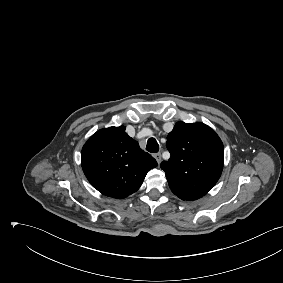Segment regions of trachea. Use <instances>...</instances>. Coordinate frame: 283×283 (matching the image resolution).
I'll return each instance as SVG.
<instances>
[{
  "instance_id": "1",
  "label": "trachea",
  "mask_w": 283,
  "mask_h": 283,
  "mask_svg": "<svg viewBox=\"0 0 283 283\" xmlns=\"http://www.w3.org/2000/svg\"><path fill=\"white\" fill-rule=\"evenodd\" d=\"M146 150L150 153H157L159 151V144L157 143L156 139H148Z\"/></svg>"
}]
</instances>
